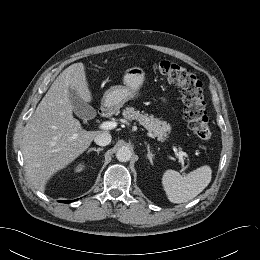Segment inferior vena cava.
Wrapping results in <instances>:
<instances>
[{"label":"inferior vena cava","mask_w":260,"mask_h":260,"mask_svg":"<svg viewBox=\"0 0 260 260\" xmlns=\"http://www.w3.org/2000/svg\"><path fill=\"white\" fill-rule=\"evenodd\" d=\"M111 135L108 132H100L98 133L95 138L94 141L97 145L99 146H106L111 142Z\"/></svg>","instance_id":"602c4592"}]
</instances>
